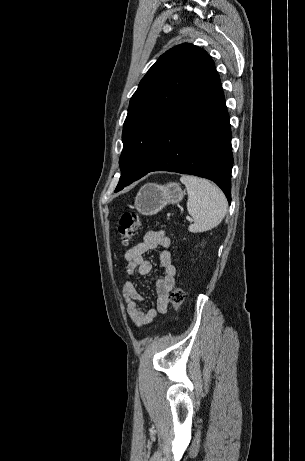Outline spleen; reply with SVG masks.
<instances>
[{
    "label": "spleen",
    "instance_id": "3e777b00",
    "mask_svg": "<svg viewBox=\"0 0 305 461\" xmlns=\"http://www.w3.org/2000/svg\"><path fill=\"white\" fill-rule=\"evenodd\" d=\"M180 181L188 194L187 211L194 218L188 230L198 233L218 226L227 212V199L220 188L196 176L183 175Z\"/></svg>",
    "mask_w": 305,
    "mask_h": 461
}]
</instances>
